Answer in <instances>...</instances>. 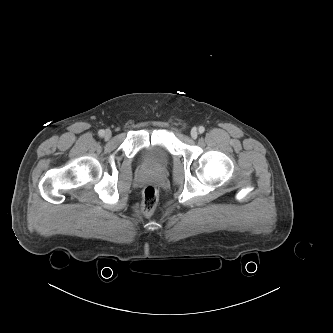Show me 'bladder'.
<instances>
[{"label":"bladder","instance_id":"1","mask_svg":"<svg viewBox=\"0 0 333 333\" xmlns=\"http://www.w3.org/2000/svg\"><path fill=\"white\" fill-rule=\"evenodd\" d=\"M171 154L163 145L149 146L141 156V163L150 169L165 167L170 161Z\"/></svg>","mask_w":333,"mask_h":333}]
</instances>
